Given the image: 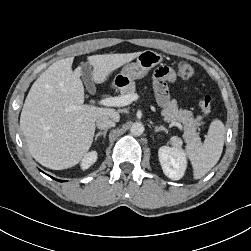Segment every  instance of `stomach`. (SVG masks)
<instances>
[{
  "label": "stomach",
  "mask_w": 251,
  "mask_h": 251,
  "mask_svg": "<svg viewBox=\"0 0 251 251\" xmlns=\"http://www.w3.org/2000/svg\"><path fill=\"white\" fill-rule=\"evenodd\" d=\"M161 54L152 50L141 52L136 62L127 63L114 78L116 86L123 88L133 80L145 77L148 72L162 62Z\"/></svg>",
  "instance_id": "1"
}]
</instances>
